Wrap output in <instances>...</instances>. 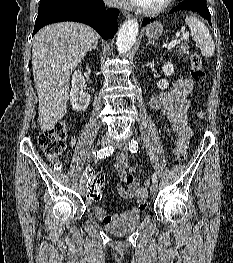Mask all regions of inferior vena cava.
<instances>
[{"mask_svg":"<svg viewBox=\"0 0 233 263\" xmlns=\"http://www.w3.org/2000/svg\"><path fill=\"white\" fill-rule=\"evenodd\" d=\"M104 1L108 7H113L116 3V0H104Z\"/></svg>","mask_w":233,"mask_h":263,"instance_id":"1","label":"inferior vena cava"}]
</instances>
